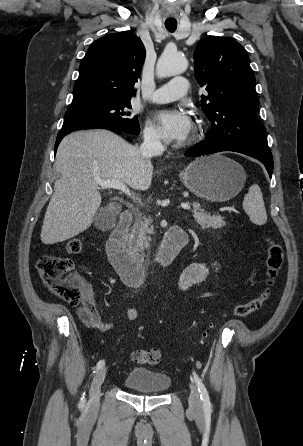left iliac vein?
<instances>
[{
    "label": "left iliac vein",
    "instance_id": "4c4485c4",
    "mask_svg": "<svg viewBox=\"0 0 303 446\" xmlns=\"http://www.w3.org/2000/svg\"><path fill=\"white\" fill-rule=\"evenodd\" d=\"M189 407L195 413H200L202 410L199 392L193 384H190Z\"/></svg>",
    "mask_w": 303,
    "mask_h": 446
}]
</instances>
